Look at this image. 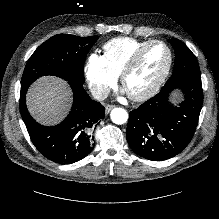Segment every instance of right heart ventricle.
<instances>
[{
    "label": "right heart ventricle",
    "instance_id": "right-heart-ventricle-1",
    "mask_svg": "<svg viewBox=\"0 0 219 219\" xmlns=\"http://www.w3.org/2000/svg\"><path fill=\"white\" fill-rule=\"evenodd\" d=\"M149 41L132 37L113 38L104 44L103 57L110 70L119 75L127 60Z\"/></svg>",
    "mask_w": 219,
    "mask_h": 219
}]
</instances>
